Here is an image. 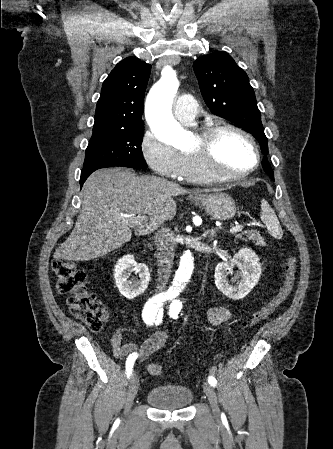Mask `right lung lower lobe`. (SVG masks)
<instances>
[{
	"mask_svg": "<svg viewBox=\"0 0 333 449\" xmlns=\"http://www.w3.org/2000/svg\"><path fill=\"white\" fill-rule=\"evenodd\" d=\"M95 170H82L81 172V179H80V185L82 187L83 183L86 181L88 176L93 173Z\"/></svg>",
	"mask_w": 333,
	"mask_h": 449,
	"instance_id": "right-lung-lower-lobe-1",
	"label": "right lung lower lobe"
}]
</instances>
